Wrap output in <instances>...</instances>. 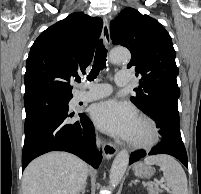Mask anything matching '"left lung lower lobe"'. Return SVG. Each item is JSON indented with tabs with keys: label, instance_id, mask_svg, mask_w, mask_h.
Here are the masks:
<instances>
[{
	"label": "left lung lower lobe",
	"instance_id": "1",
	"mask_svg": "<svg viewBox=\"0 0 201 194\" xmlns=\"http://www.w3.org/2000/svg\"><path fill=\"white\" fill-rule=\"evenodd\" d=\"M148 115L156 121V126L162 136L161 142L148 155L169 154L180 160L188 168L187 153L180 134L178 107L158 105ZM145 155L144 151L134 152L131 154L129 164L138 161Z\"/></svg>",
	"mask_w": 201,
	"mask_h": 194
}]
</instances>
